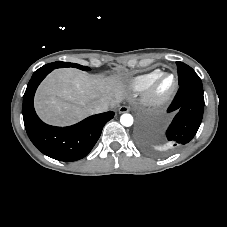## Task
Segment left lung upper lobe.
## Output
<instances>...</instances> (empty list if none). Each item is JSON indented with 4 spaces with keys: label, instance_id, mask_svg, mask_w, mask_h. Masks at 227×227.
I'll return each instance as SVG.
<instances>
[{
    "label": "left lung upper lobe",
    "instance_id": "5c2ea615",
    "mask_svg": "<svg viewBox=\"0 0 227 227\" xmlns=\"http://www.w3.org/2000/svg\"><path fill=\"white\" fill-rule=\"evenodd\" d=\"M178 68L179 86L191 84L202 88V82L196 72L182 62H176Z\"/></svg>",
    "mask_w": 227,
    "mask_h": 227
}]
</instances>
